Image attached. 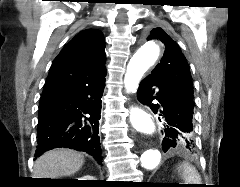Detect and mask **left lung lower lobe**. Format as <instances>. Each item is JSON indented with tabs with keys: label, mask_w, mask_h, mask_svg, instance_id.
Masks as SVG:
<instances>
[{
	"label": "left lung lower lobe",
	"mask_w": 240,
	"mask_h": 187,
	"mask_svg": "<svg viewBox=\"0 0 240 187\" xmlns=\"http://www.w3.org/2000/svg\"><path fill=\"white\" fill-rule=\"evenodd\" d=\"M154 87L157 88L156 91ZM137 98L142 104L149 106L155 114L162 116L164 152L174 148L194 152L193 137H185L186 134L193 132L194 100L162 87L150 76L141 81ZM154 99L158 100L160 104H153Z\"/></svg>",
	"instance_id": "1"
}]
</instances>
